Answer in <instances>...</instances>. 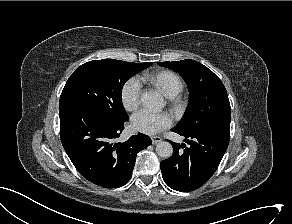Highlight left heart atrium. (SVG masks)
<instances>
[{
    "label": "left heart atrium",
    "instance_id": "obj_1",
    "mask_svg": "<svg viewBox=\"0 0 292 224\" xmlns=\"http://www.w3.org/2000/svg\"><path fill=\"white\" fill-rule=\"evenodd\" d=\"M172 125V118L167 113H155L146 109L132 116L133 128L144 134H157Z\"/></svg>",
    "mask_w": 292,
    "mask_h": 224
}]
</instances>
